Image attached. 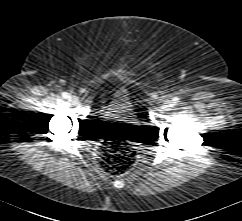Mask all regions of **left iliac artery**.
I'll return each instance as SVG.
<instances>
[{
    "mask_svg": "<svg viewBox=\"0 0 242 221\" xmlns=\"http://www.w3.org/2000/svg\"><path fill=\"white\" fill-rule=\"evenodd\" d=\"M172 101H173L174 104H177L179 102V98L178 97H174Z\"/></svg>",
    "mask_w": 242,
    "mask_h": 221,
    "instance_id": "44dca946",
    "label": "left iliac artery"
}]
</instances>
